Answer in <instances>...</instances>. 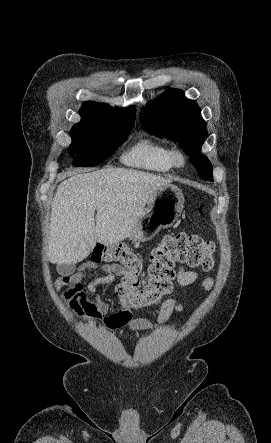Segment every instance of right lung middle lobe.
I'll list each match as a JSON object with an SVG mask.
<instances>
[{
	"label": "right lung middle lobe",
	"instance_id": "obj_1",
	"mask_svg": "<svg viewBox=\"0 0 271 443\" xmlns=\"http://www.w3.org/2000/svg\"><path fill=\"white\" fill-rule=\"evenodd\" d=\"M133 119L91 118L71 129V154L74 166H95L107 159L125 142Z\"/></svg>",
	"mask_w": 271,
	"mask_h": 443
}]
</instances>
